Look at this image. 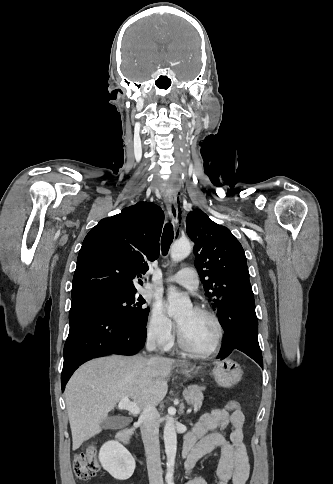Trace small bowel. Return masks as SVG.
<instances>
[{
    "mask_svg": "<svg viewBox=\"0 0 333 484\" xmlns=\"http://www.w3.org/2000/svg\"><path fill=\"white\" fill-rule=\"evenodd\" d=\"M245 417L241 410L228 411L217 408L205 413L186 435L185 441L192 443L190 460L187 463L188 474L195 463L216 448L221 449L217 466V484H245L250 473V463L244 441ZM230 427L227 436L221 430ZM186 484H207L200 477L187 481Z\"/></svg>",
    "mask_w": 333,
    "mask_h": 484,
    "instance_id": "1",
    "label": "small bowel"
}]
</instances>
